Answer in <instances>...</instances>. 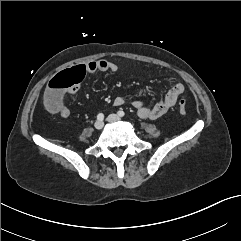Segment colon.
Masks as SVG:
<instances>
[{
  "label": "colon",
  "mask_w": 241,
  "mask_h": 241,
  "mask_svg": "<svg viewBox=\"0 0 241 241\" xmlns=\"http://www.w3.org/2000/svg\"><path fill=\"white\" fill-rule=\"evenodd\" d=\"M87 76V69L82 64H75L70 70L55 75L49 82L44 96V103L48 109H53L63 95L70 91ZM178 110L181 114L187 112L185 100L179 102Z\"/></svg>",
  "instance_id": "5ec220e1"
}]
</instances>
